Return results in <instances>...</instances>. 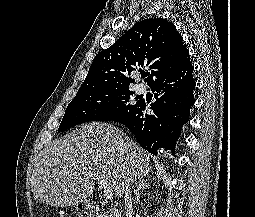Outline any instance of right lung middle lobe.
Masks as SVG:
<instances>
[{
    "label": "right lung middle lobe",
    "mask_w": 255,
    "mask_h": 217,
    "mask_svg": "<svg viewBox=\"0 0 255 217\" xmlns=\"http://www.w3.org/2000/svg\"><path fill=\"white\" fill-rule=\"evenodd\" d=\"M129 87L77 93L68 105L58 131L91 121H111L122 117L139 104L134 103Z\"/></svg>",
    "instance_id": "obj_1"
}]
</instances>
